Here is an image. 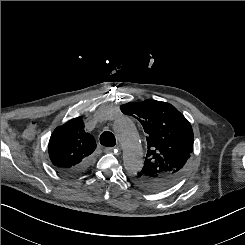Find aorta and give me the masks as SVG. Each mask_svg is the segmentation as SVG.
Masks as SVG:
<instances>
[{"mask_svg":"<svg viewBox=\"0 0 245 245\" xmlns=\"http://www.w3.org/2000/svg\"><path fill=\"white\" fill-rule=\"evenodd\" d=\"M113 130L123 149L125 169L130 173L139 172L143 165V153L135 125L129 118L121 117L114 122Z\"/></svg>","mask_w":245,"mask_h":245,"instance_id":"obj_1","label":"aorta"}]
</instances>
